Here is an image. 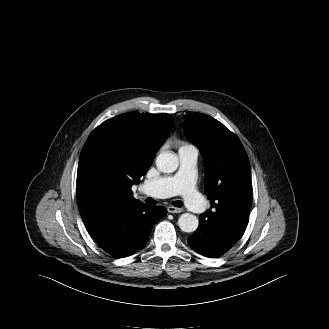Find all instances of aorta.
Listing matches in <instances>:
<instances>
[{"label": "aorta", "instance_id": "obj_1", "mask_svg": "<svg viewBox=\"0 0 329 329\" xmlns=\"http://www.w3.org/2000/svg\"><path fill=\"white\" fill-rule=\"evenodd\" d=\"M179 160L176 154L171 152H163L156 158V166L163 173H172L176 171ZM199 225L198 218L190 213L182 214L178 219V226L184 232L191 233L196 231Z\"/></svg>", "mask_w": 329, "mask_h": 329}]
</instances>
